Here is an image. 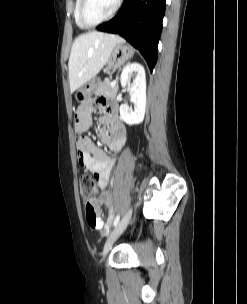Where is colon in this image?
I'll return each mask as SVG.
<instances>
[{"mask_svg": "<svg viewBox=\"0 0 247 304\" xmlns=\"http://www.w3.org/2000/svg\"><path fill=\"white\" fill-rule=\"evenodd\" d=\"M79 189L85 203L86 219L89 226L93 229L103 228L98 205L107 200V194L102 193L99 198L93 199L96 193V183L94 178L88 174H83L80 177Z\"/></svg>", "mask_w": 247, "mask_h": 304, "instance_id": "5ec220e1", "label": "colon"}]
</instances>
